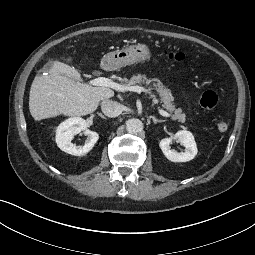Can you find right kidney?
I'll list each match as a JSON object with an SVG mask.
<instances>
[{
  "label": "right kidney",
  "instance_id": "ca27d5eb",
  "mask_svg": "<svg viewBox=\"0 0 255 255\" xmlns=\"http://www.w3.org/2000/svg\"><path fill=\"white\" fill-rule=\"evenodd\" d=\"M87 136L83 146H76L71 143L73 137L80 132ZM99 135L87 128V123L80 117L69 118L62 122L56 129V143L57 146L64 152L82 156L87 154L98 141Z\"/></svg>",
  "mask_w": 255,
  "mask_h": 255
}]
</instances>
